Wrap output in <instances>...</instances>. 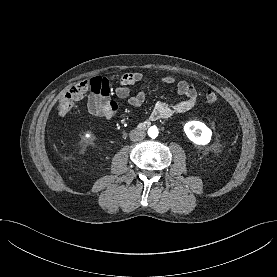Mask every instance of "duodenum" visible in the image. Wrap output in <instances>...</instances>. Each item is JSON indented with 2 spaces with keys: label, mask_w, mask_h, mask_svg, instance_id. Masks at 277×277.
Returning <instances> with one entry per match:
<instances>
[{
  "label": "duodenum",
  "mask_w": 277,
  "mask_h": 277,
  "mask_svg": "<svg viewBox=\"0 0 277 277\" xmlns=\"http://www.w3.org/2000/svg\"><path fill=\"white\" fill-rule=\"evenodd\" d=\"M148 126H149V122L148 121H144L143 123H141L139 125V128L146 129Z\"/></svg>",
  "instance_id": "obj_1"
}]
</instances>
